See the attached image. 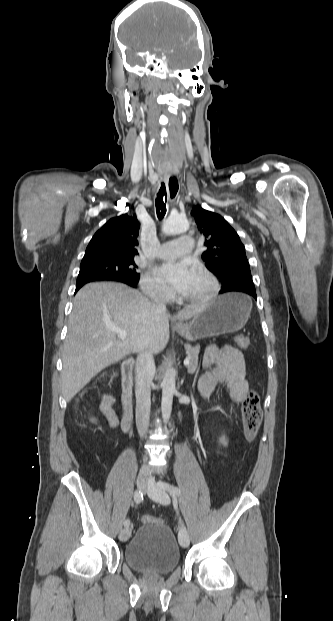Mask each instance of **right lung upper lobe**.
<instances>
[{
	"label": "right lung upper lobe",
	"instance_id": "obj_1",
	"mask_svg": "<svg viewBox=\"0 0 333 621\" xmlns=\"http://www.w3.org/2000/svg\"><path fill=\"white\" fill-rule=\"evenodd\" d=\"M140 224L136 215L123 214L107 221L92 237L83 259L134 257Z\"/></svg>",
	"mask_w": 333,
	"mask_h": 621
}]
</instances>
